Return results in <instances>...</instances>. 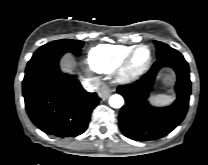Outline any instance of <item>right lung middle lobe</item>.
I'll use <instances>...</instances> for the list:
<instances>
[{
	"instance_id": "1",
	"label": "right lung middle lobe",
	"mask_w": 208,
	"mask_h": 165,
	"mask_svg": "<svg viewBox=\"0 0 208 165\" xmlns=\"http://www.w3.org/2000/svg\"><path fill=\"white\" fill-rule=\"evenodd\" d=\"M84 42L83 41H78V40H56L52 41L50 43H47L43 46H41L34 54L32 58L38 57L40 55H43L47 52L62 49L66 51H70L75 55H79L81 52V48L83 46Z\"/></svg>"
}]
</instances>
